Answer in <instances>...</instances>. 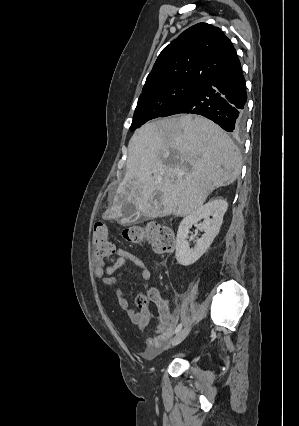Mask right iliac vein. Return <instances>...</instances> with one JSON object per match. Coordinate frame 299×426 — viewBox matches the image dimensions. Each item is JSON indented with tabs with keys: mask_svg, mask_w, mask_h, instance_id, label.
<instances>
[{
	"mask_svg": "<svg viewBox=\"0 0 299 426\" xmlns=\"http://www.w3.org/2000/svg\"><path fill=\"white\" fill-rule=\"evenodd\" d=\"M191 330V326L187 325L186 327H184V329H182L169 343V347L170 346H175L177 344H179L180 342H182L186 336L189 334Z\"/></svg>",
	"mask_w": 299,
	"mask_h": 426,
	"instance_id": "63e3f726",
	"label": "right iliac vein"
}]
</instances>
